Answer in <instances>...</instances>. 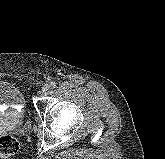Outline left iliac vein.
<instances>
[{
    "label": "left iliac vein",
    "mask_w": 165,
    "mask_h": 159,
    "mask_svg": "<svg viewBox=\"0 0 165 159\" xmlns=\"http://www.w3.org/2000/svg\"><path fill=\"white\" fill-rule=\"evenodd\" d=\"M49 89H50V85L45 84V85L42 87V95H47L48 92H49Z\"/></svg>",
    "instance_id": "4c4485c4"
}]
</instances>
